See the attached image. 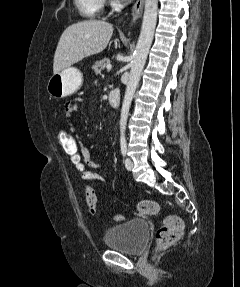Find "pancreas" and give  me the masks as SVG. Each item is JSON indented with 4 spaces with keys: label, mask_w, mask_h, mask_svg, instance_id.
Returning a JSON list of instances; mask_svg holds the SVG:
<instances>
[{
    "label": "pancreas",
    "mask_w": 240,
    "mask_h": 287,
    "mask_svg": "<svg viewBox=\"0 0 240 287\" xmlns=\"http://www.w3.org/2000/svg\"><path fill=\"white\" fill-rule=\"evenodd\" d=\"M108 64H110V60L108 58H103L95 62L92 66V70H94L96 74H99Z\"/></svg>",
    "instance_id": "obj_1"
}]
</instances>
